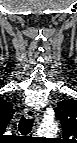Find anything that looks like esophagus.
Wrapping results in <instances>:
<instances>
[{"mask_svg": "<svg viewBox=\"0 0 77 143\" xmlns=\"http://www.w3.org/2000/svg\"><path fill=\"white\" fill-rule=\"evenodd\" d=\"M24 115L27 119H31V118H34L36 117V111L34 109H31V108H25L24 109Z\"/></svg>", "mask_w": 77, "mask_h": 143, "instance_id": "1", "label": "esophagus"}]
</instances>
